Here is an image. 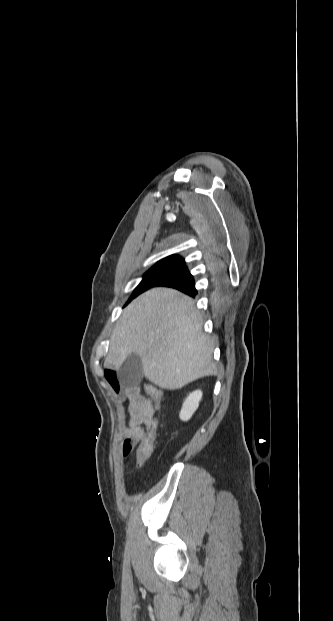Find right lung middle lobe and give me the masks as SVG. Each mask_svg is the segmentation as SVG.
Listing matches in <instances>:
<instances>
[{
    "label": "right lung middle lobe",
    "instance_id": "1",
    "mask_svg": "<svg viewBox=\"0 0 333 621\" xmlns=\"http://www.w3.org/2000/svg\"><path fill=\"white\" fill-rule=\"evenodd\" d=\"M185 264L183 259H162L157 262L150 270H148L141 283L136 287L132 296L130 297V302L133 298H135L140 293L146 291L147 289L153 287L158 281L173 272L177 271ZM127 302V303H128Z\"/></svg>",
    "mask_w": 333,
    "mask_h": 621
}]
</instances>
